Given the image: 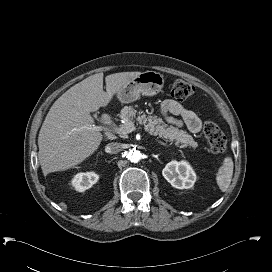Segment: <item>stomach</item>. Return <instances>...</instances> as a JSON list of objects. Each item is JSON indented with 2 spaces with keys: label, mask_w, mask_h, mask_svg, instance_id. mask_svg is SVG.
Segmentation results:
<instances>
[{
  "label": "stomach",
  "mask_w": 272,
  "mask_h": 272,
  "mask_svg": "<svg viewBox=\"0 0 272 272\" xmlns=\"http://www.w3.org/2000/svg\"><path fill=\"white\" fill-rule=\"evenodd\" d=\"M163 85L164 76L161 73L146 71L131 79L116 95L121 103L128 104L139 99L140 95L158 94Z\"/></svg>",
  "instance_id": "1"
}]
</instances>
